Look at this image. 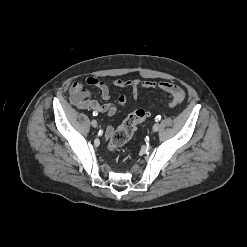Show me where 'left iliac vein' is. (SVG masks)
Wrapping results in <instances>:
<instances>
[{
  "label": "left iliac vein",
  "instance_id": "obj_1",
  "mask_svg": "<svg viewBox=\"0 0 247 247\" xmlns=\"http://www.w3.org/2000/svg\"><path fill=\"white\" fill-rule=\"evenodd\" d=\"M159 127H160V125L158 123H155L153 125V128L152 129H153L154 132H157L159 130Z\"/></svg>",
  "mask_w": 247,
  "mask_h": 247
}]
</instances>
